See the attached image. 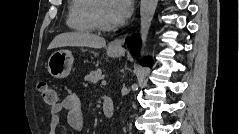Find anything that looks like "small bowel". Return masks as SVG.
<instances>
[{
    "mask_svg": "<svg viewBox=\"0 0 239 134\" xmlns=\"http://www.w3.org/2000/svg\"><path fill=\"white\" fill-rule=\"evenodd\" d=\"M67 113L69 126L75 131L84 129V110L79 96L76 93L67 95L62 102L57 103L50 109L49 134H55L60 124V115Z\"/></svg>",
    "mask_w": 239,
    "mask_h": 134,
    "instance_id": "obj_1",
    "label": "small bowel"
}]
</instances>
